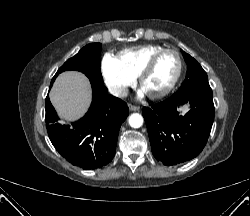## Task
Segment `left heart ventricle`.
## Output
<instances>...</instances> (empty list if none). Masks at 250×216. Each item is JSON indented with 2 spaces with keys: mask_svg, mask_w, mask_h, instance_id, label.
I'll use <instances>...</instances> for the list:
<instances>
[{
  "mask_svg": "<svg viewBox=\"0 0 250 216\" xmlns=\"http://www.w3.org/2000/svg\"><path fill=\"white\" fill-rule=\"evenodd\" d=\"M178 68L177 58L172 53H165L158 58L150 73L143 81L142 89L148 95L163 91L174 78Z\"/></svg>",
  "mask_w": 250,
  "mask_h": 216,
  "instance_id": "1",
  "label": "left heart ventricle"
}]
</instances>
